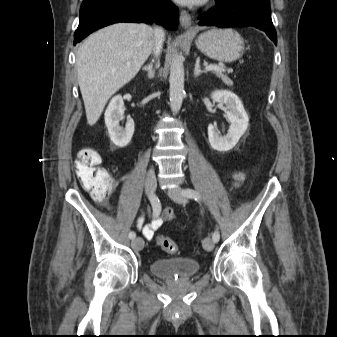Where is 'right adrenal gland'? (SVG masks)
<instances>
[{
	"label": "right adrenal gland",
	"instance_id": "obj_1",
	"mask_svg": "<svg viewBox=\"0 0 337 337\" xmlns=\"http://www.w3.org/2000/svg\"><path fill=\"white\" fill-rule=\"evenodd\" d=\"M159 65L160 64H159V61H158L154 68H153L152 64H149V65L143 67V70L147 71L149 79L153 78L154 73H155V69L159 68Z\"/></svg>",
	"mask_w": 337,
	"mask_h": 337
}]
</instances>
